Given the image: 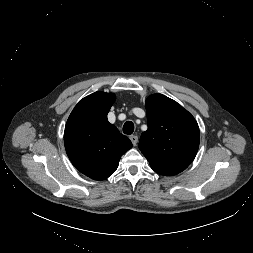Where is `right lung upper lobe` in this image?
Instances as JSON below:
<instances>
[{"label":"right lung upper lobe","mask_w":253,"mask_h":253,"mask_svg":"<svg viewBox=\"0 0 253 253\" xmlns=\"http://www.w3.org/2000/svg\"><path fill=\"white\" fill-rule=\"evenodd\" d=\"M115 95L97 91L78 102L64 132L67 155L81 173L94 180L112 175L121 156L132 148L131 141L113 124L107 114Z\"/></svg>","instance_id":"cb5924a9"}]
</instances>
